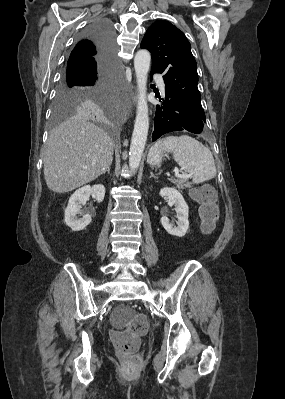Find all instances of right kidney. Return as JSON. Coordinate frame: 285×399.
I'll return each instance as SVG.
<instances>
[{"mask_svg": "<svg viewBox=\"0 0 285 399\" xmlns=\"http://www.w3.org/2000/svg\"><path fill=\"white\" fill-rule=\"evenodd\" d=\"M90 195H95L97 202H102L105 196V187L101 184L94 186L86 185L76 190L69 198L68 205L65 209V222L72 231H81L91 222L89 214L83 215L81 219L77 217L80 212L81 205H85Z\"/></svg>", "mask_w": 285, "mask_h": 399, "instance_id": "1", "label": "right kidney"}]
</instances>
